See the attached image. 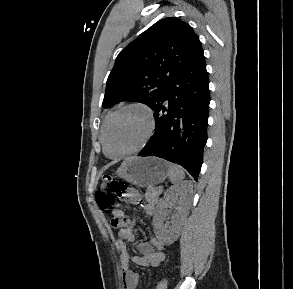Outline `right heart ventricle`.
<instances>
[{
  "mask_svg": "<svg viewBox=\"0 0 293 289\" xmlns=\"http://www.w3.org/2000/svg\"><path fill=\"white\" fill-rule=\"evenodd\" d=\"M112 113H113V112H109V113L106 115V117H105V119H104V121H103V124H102L101 130H100V140H101V142H102V134H103V130H104V127H105L106 121L108 120V118L111 116Z\"/></svg>",
  "mask_w": 293,
  "mask_h": 289,
  "instance_id": "e07e8e85",
  "label": "right heart ventricle"
}]
</instances>
